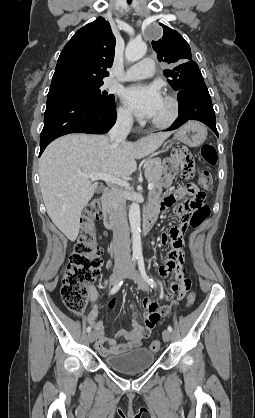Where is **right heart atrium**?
Returning <instances> with one entry per match:
<instances>
[{
	"label": "right heart atrium",
	"mask_w": 255,
	"mask_h": 418,
	"mask_svg": "<svg viewBox=\"0 0 255 418\" xmlns=\"http://www.w3.org/2000/svg\"><path fill=\"white\" fill-rule=\"evenodd\" d=\"M117 119L122 124H130L132 122V115L129 109L125 106H120L117 110Z\"/></svg>",
	"instance_id": "1"
}]
</instances>
